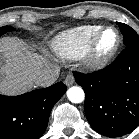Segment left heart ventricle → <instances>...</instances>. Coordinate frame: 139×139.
Here are the masks:
<instances>
[{
	"instance_id": "b2bd125f",
	"label": "left heart ventricle",
	"mask_w": 139,
	"mask_h": 139,
	"mask_svg": "<svg viewBox=\"0 0 139 139\" xmlns=\"http://www.w3.org/2000/svg\"><path fill=\"white\" fill-rule=\"evenodd\" d=\"M117 36L113 30L106 31L98 42V53L105 54L109 52L116 44Z\"/></svg>"
}]
</instances>
